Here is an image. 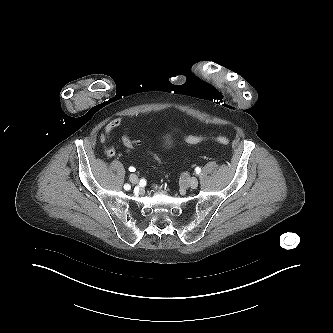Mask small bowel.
<instances>
[{"label": "small bowel", "instance_id": "small-bowel-1", "mask_svg": "<svg viewBox=\"0 0 333 333\" xmlns=\"http://www.w3.org/2000/svg\"><path fill=\"white\" fill-rule=\"evenodd\" d=\"M122 124V118L121 117H115L112 119L104 128V131L102 132L100 136V141L103 145V151L107 157H113L115 156V148L110 145V135L111 133L117 129Z\"/></svg>", "mask_w": 333, "mask_h": 333}]
</instances>
